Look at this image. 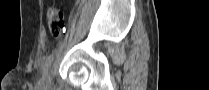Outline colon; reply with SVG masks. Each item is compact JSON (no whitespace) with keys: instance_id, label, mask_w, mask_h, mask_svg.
Listing matches in <instances>:
<instances>
[{"instance_id":"colon-1","label":"colon","mask_w":209,"mask_h":90,"mask_svg":"<svg viewBox=\"0 0 209 90\" xmlns=\"http://www.w3.org/2000/svg\"><path fill=\"white\" fill-rule=\"evenodd\" d=\"M47 22L51 33L54 36L60 35L65 27V15L63 11L58 8H50L47 11Z\"/></svg>"}]
</instances>
